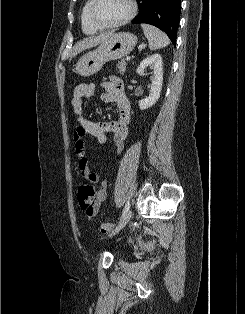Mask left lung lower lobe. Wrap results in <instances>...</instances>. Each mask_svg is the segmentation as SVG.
Listing matches in <instances>:
<instances>
[{
  "instance_id": "0a47b994",
  "label": "left lung lower lobe",
  "mask_w": 245,
  "mask_h": 314,
  "mask_svg": "<svg viewBox=\"0 0 245 314\" xmlns=\"http://www.w3.org/2000/svg\"><path fill=\"white\" fill-rule=\"evenodd\" d=\"M139 14L132 23H146L163 30L175 45L181 0H137Z\"/></svg>"
}]
</instances>
